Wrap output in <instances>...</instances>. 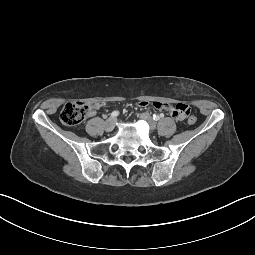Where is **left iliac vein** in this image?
<instances>
[{"mask_svg": "<svg viewBox=\"0 0 255 255\" xmlns=\"http://www.w3.org/2000/svg\"><path fill=\"white\" fill-rule=\"evenodd\" d=\"M140 117L147 121L151 127L152 130L155 129V122L153 121L152 117L148 113H142Z\"/></svg>", "mask_w": 255, "mask_h": 255, "instance_id": "1", "label": "left iliac vein"}]
</instances>
